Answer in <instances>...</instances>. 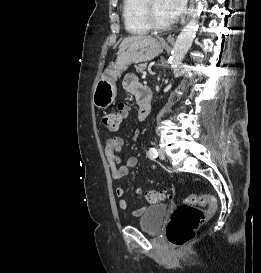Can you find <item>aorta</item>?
Here are the masks:
<instances>
[{
    "instance_id": "1",
    "label": "aorta",
    "mask_w": 261,
    "mask_h": 273,
    "mask_svg": "<svg viewBox=\"0 0 261 273\" xmlns=\"http://www.w3.org/2000/svg\"><path fill=\"white\" fill-rule=\"evenodd\" d=\"M202 9L203 4L201 0H196V8L192 14V17L179 34L174 44L170 57L171 65L180 64L184 59V56L186 55L187 51L191 47L196 32L198 30V17Z\"/></svg>"
}]
</instances>
